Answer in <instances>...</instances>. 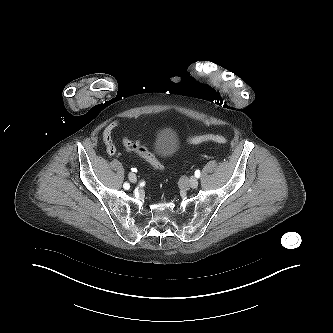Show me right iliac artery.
I'll return each mask as SVG.
<instances>
[{
	"label": "right iliac artery",
	"mask_w": 333,
	"mask_h": 333,
	"mask_svg": "<svg viewBox=\"0 0 333 333\" xmlns=\"http://www.w3.org/2000/svg\"><path fill=\"white\" fill-rule=\"evenodd\" d=\"M124 189L128 190L130 188L129 183L125 182L123 185Z\"/></svg>",
	"instance_id": "right-iliac-artery-1"
}]
</instances>
